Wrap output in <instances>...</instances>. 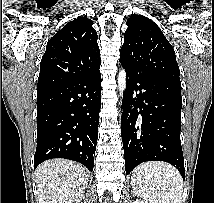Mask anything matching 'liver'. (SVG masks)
<instances>
[{
    "instance_id": "liver-1",
    "label": "liver",
    "mask_w": 214,
    "mask_h": 203,
    "mask_svg": "<svg viewBox=\"0 0 214 203\" xmlns=\"http://www.w3.org/2000/svg\"><path fill=\"white\" fill-rule=\"evenodd\" d=\"M35 181L39 203H80L89 179L81 164L52 159L37 167Z\"/></svg>"
}]
</instances>
